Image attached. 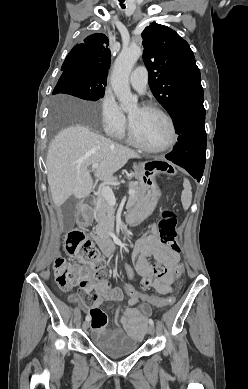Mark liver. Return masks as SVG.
Segmentation results:
<instances>
[{"label":"liver","instance_id":"obj_1","mask_svg":"<svg viewBox=\"0 0 248 389\" xmlns=\"http://www.w3.org/2000/svg\"><path fill=\"white\" fill-rule=\"evenodd\" d=\"M58 100L78 103L68 98ZM131 158H140V155L88 127L74 125L62 130L52 141L46 159L54 204L60 207L71 196L81 199L90 195L93 185L88 171L90 165L99 163L94 175L98 180L108 182Z\"/></svg>","mask_w":248,"mask_h":389}]
</instances>
